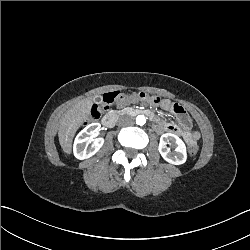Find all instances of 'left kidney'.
<instances>
[{"label":"left kidney","mask_w":250,"mask_h":250,"mask_svg":"<svg viewBox=\"0 0 250 250\" xmlns=\"http://www.w3.org/2000/svg\"><path fill=\"white\" fill-rule=\"evenodd\" d=\"M174 143L177 145L175 148L176 155H172L169 148L166 147L167 143ZM161 156L165 161L174 164L180 165L185 163L187 154H186V146L184 142L175 134L165 133L160 138L159 148H158Z\"/></svg>","instance_id":"1"}]
</instances>
